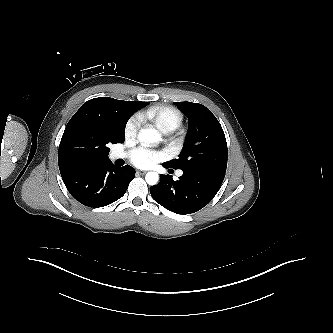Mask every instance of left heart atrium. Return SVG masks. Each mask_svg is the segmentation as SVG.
Segmentation results:
<instances>
[{
	"label": "left heart atrium",
	"mask_w": 333,
	"mask_h": 333,
	"mask_svg": "<svg viewBox=\"0 0 333 333\" xmlns=\"http://www.w3.org/2000/svg\"><path fill=\"white\" fill-rule=\"evenodd\" d=\"M164 158L161 151H152L146 148H136L130 154L131 162L140 168H148Z\"/></svg>",
	"instance_id": "1"
}]
</instances>
